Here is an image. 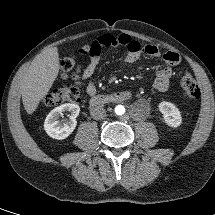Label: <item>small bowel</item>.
I'll return each instance as SVG.
<instances>
[{"label":"small bowel","mask_w":215,"mask_h":215,"mask_svg":"<svg viewBox=\"0 0 215 215\" xmlns=\"http://www.w3.org/2000/svg\"><path fill=\"white\" fill-rule=\"evenodd\" d=\"M87 46L89 49L88 54L90 56V61L81 74V81L87 82L86 92L89 96H94L97 92L93 78L105 48H126L127 54L125 56V61L128 63H134L138 61L142 55H147L152 58L161 57L165 66L156 72L153 82L154 88L161 92L170 90L172 77L171 67L180 63V57L177 53L168 51L161 55V52L157 46L146 45L142 47L138 41L132 39L126 34H121L119 36L105 34L97 37Z\"/></svg>","instance_id":"small-bowel-1"}]
</instances>
